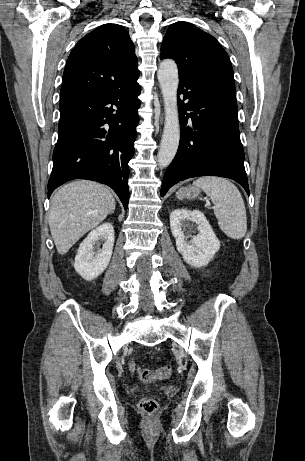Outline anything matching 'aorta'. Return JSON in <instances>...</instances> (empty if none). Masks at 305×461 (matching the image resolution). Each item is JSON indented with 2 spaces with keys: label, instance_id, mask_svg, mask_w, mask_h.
I'll use <instances>...</instances> for the list:
<instances>
[{
  "label": "aorta",
  "instance_id": "762f6f07",
  "mask_svg": "<svg viewBox=\"0 0 305 461\" xmlns=\"http://www.w3.org/2000/svg\"><path fill=\"white\" fill-rule=\"evenodd\" d=\"M165 105V124L158 151L159 166L166 167L174 159L180 140V124L177 107L179 84L178 68L174 60H163L157 72Z\"/></svg>",
  "mask_w": 305,
  "mask_h": 461
}]
</instances>
